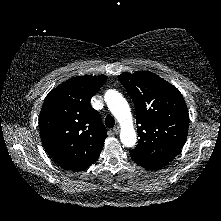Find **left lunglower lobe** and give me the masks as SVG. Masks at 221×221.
Wrapping results in <instances>:
<instances>
[{
    "label": "left lung lower lobe",
    "mask_w": 221,
    "mask_h": 221,
    "mask_svg": "<svg viewBox=\"0 0 221 221\" xmlns=\"http://www.w3.org/2000/svg\"><path fill=\"white\" fill-rule=\"evenodd\" d=\"M131 158L133 159L135 163L149 170H156V169L166 166V164H162V163L149 162L146 160H140V159L133 158V157Z\"/></svg>",
    "instance_id": "obj_1"
}]
</instances>
